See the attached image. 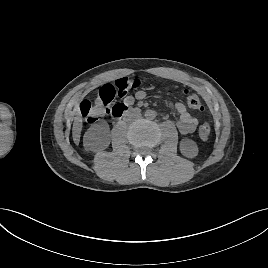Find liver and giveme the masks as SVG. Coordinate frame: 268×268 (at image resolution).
<instances>
[{
    "instance_id": "1",
    "label": "liver",
    "mask_w": 268,
    "mask_h": 268,
    "mask_svg": "<svg viewBox=\"0 0 268 268\" xmlns=\"http://www.w3.org/2000/svg\"><path fill=\"white\" fill-rule=\"evenodd\" d=\"M82 127V118L79 114H77V116L74 118L72 127V136L75 144H79Z\"/></svg>"
}]
</instances>
